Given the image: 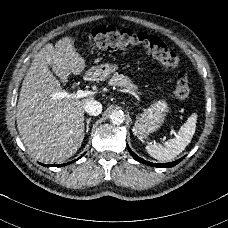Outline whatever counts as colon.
<instances>
[{
  "label": "colon",
  "mask_w": 228,
  "mask_h": 228,
  "mask_svg": "<svg viewBox=\"0 0 228 228\" xmlns=\"http://www.w3.org/2000/svg\"><path fill=\"white\" fill-rule=\"evenodd\" d=\"M90 42L96 49L144 46L172 72L174 94L179 98L189 95L188 75L181 66L180 59L160 37L144 32H134L127 28L96 26L90 34Z\"/></svg>",
  "instance_id": "1"
}]
</instances>
